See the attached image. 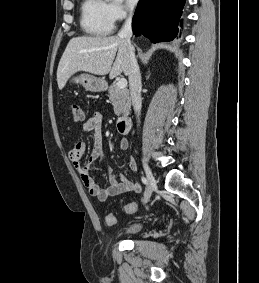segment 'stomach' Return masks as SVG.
<instances>
[{"instance_id":"obj_1","label":"stomach","mask_w":259,"mask_h":283,"mask_svg":"<svg viewBox=\"0 0 259 283\" xmlns=\"http://www.w3.org/2000/svg\"><path fill=\"white\" fill-rule=\"evenodd\" d=\"M71 82L82 85L85 90L91 92H102L106 89V82L102 78L90 74H80L73 76Z\"/></svg>"}]
</instances>
